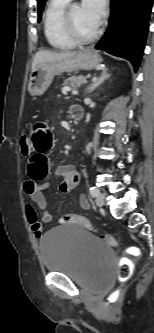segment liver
<instances>
[{
    "label": "liver",
    "mask_w": 154,
    "mask_h": 333,
    "mask_svg": "<svg viewBox=\"0 0 154 333\" xmlns=\"http://www.w3.org/2000/svg\"><path fill=\"white\" fill-rule=\"evenodd\" d=\"M78 52H53L42 50L35 54L32 62V70L40 63L54 62L74 57Z\"/></svg>",
    "instance_id": "liver-1"
}]
</instances>
